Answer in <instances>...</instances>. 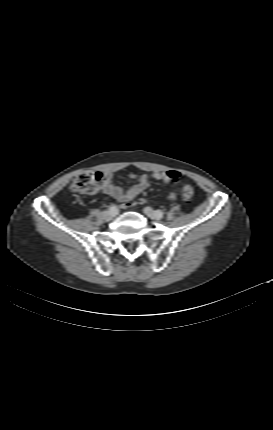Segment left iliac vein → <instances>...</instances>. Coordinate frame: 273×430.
<instances>
[{"instance_id": "obj_1", "label": "left iliac vein", "mask_w": 273, "mask_h": 430, "mask_svg": "<svg viewBox=\"0 0 273 430\" xmlns=\"http://www.w3.org/2000/svg\"><path fill=\"white\" fill-rule=\"evenodd\" d=\"M144 213L148 216V217H150L151 219H154V220H160L162 217L158 214V212L157 211H154L152 208H150V207H145L144 208Z\"/></svg>"}]
</instances>
